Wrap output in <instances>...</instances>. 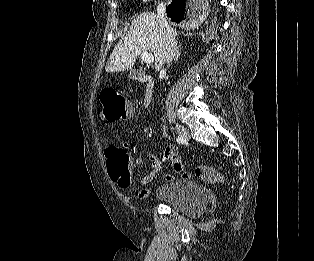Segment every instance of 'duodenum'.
Segmentation results:
<instances>
[{
    "instance_id": "obj_1",
    "label": "duodenum",
    "mask_w": 314,
    "mask_h": 261,
    "mask_svg": "<svg viewBox=\"0 0 314 261\" xmlns=\"http://www.w3.org/2000/svg\"><path fill=\"white\" fill-rule=\"evenodd\" d=\"M146 91L144 97V103L146 106H149L152 102L153 93H154V81L150 77H146Z\"/></svg>"
}]
</instances>
